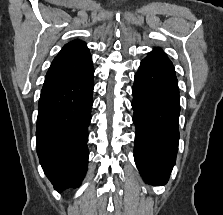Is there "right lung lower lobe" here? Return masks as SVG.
Instances as JSON below:
<instances>
[{
	"mask_svg": "<svg viewBox=\"0 0 223 215\" xmlns=\"http://www.w3.org/2000/svg\"><path fill=\"white\" fill-rule=\"evenodd\" d=\"M93 67L81 77L43 87L36 130L40 164L61 192L80 186L88 166V125L91 120Z\"/></svg>",
	"mask_w": 223,
	"mask_h": 215,
	"instance_id": "obj_1",
	"label": "right lung lower lobe"
}]
</instances>
